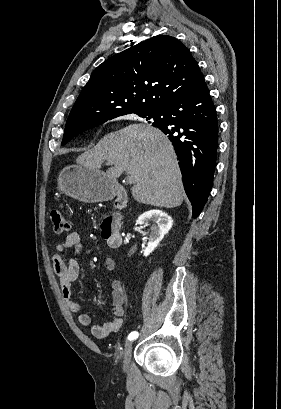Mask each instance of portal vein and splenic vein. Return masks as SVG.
I'll return each instance as SVG.
<instances>
[{
    "label": "portal vein and splenic vein",
    "instance_id": "obj_1",
    "mask_svg": "<svg viewBox=\"0 0 281 409\" xmlns=\"http://www.w3.org/2000/svg\"><path fill=\"white\" fill-rule=\"evenodd\" d=\"M107 164H110V162H107ZM126 183L128 185H135L137 183V178L135 176H131L130 174V176L126 178Z\"/></svg>",
    "mask_w": 281,
    "mask_h": 409
}]
</instances>
